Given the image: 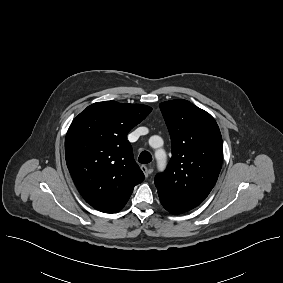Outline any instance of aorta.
<instances>
[{
    "instance_id": "aorta-1",
    "label": "aorta",
    "mask_w": 283,
    "mask_h": 283,
    "mask_svg": "<svg viewBox=\"0 0 283 283\" xmlns=\"http://www.w3.org/2000/svg\"><path fill=\"white\" fill-rule=\"evenodd\" d=\"M151 140L153 141V143H162V142H163L162 139H161V137H159V136H153V137L151 138ZM160 154H163V155L165 156V152L160 149V150L156 151L155 157H156V159H157L159 169H160V170H163L164 167H165V159H160V158H159V155H160Z\"/></svg>"
}]
</instances>
